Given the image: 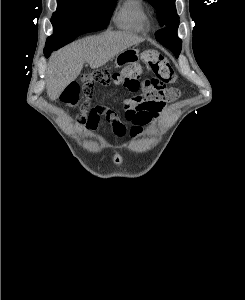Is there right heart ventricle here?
<instances>
[{
	"instance_id": "e07e8e85",
	"label": "right heart ventricle",
	"mask_w": 245,
	"mask_h": 300,
	"mask_svg": "<svg viewBox=\"0 0 245 300\" xmlns=\"http://www.w3.org/2000/svg\"><path fill=\"white\" fill-rule=\"evenodd\" d=\"M117 27L133 31H145L148 16L141 0H125L114 17Z\"/></svg>"
}]
</instances>
